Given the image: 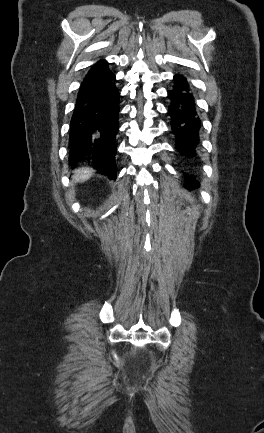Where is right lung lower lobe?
Instances as JSON below:
<instances>
[{
	"label": "right lung lower lobe",
	"instance_id": "1",
	"mask_svg": "<svg viewBox=\"0 0 264 433\" xmlns=\"http://www.w3.org/2000/svg\"><path fill=\"white\" fill-rule=\"evenodd\" d=\"M119 110L115 75L105 60L99 61L86 74L78 92L70 122L69 156L73 160L92 159L102 174L113 179Z\"/></svg>",
	"mask_w": 264,
	"mask_h": 433
}]
</instances>
